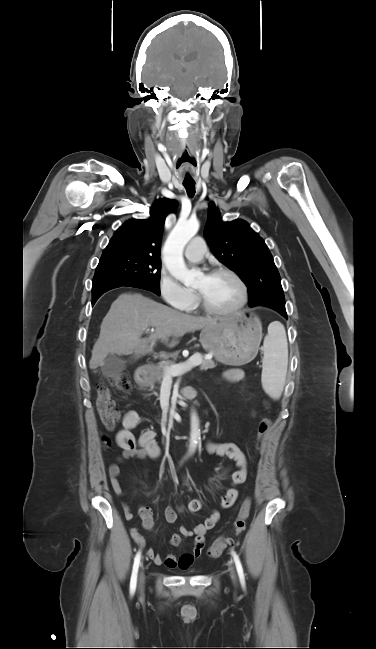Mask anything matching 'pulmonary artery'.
I'll list each match as a JSON object with an SVG mask.
<instances>
[{
    "label": "pulmonary artery",
    "instance_id": "1",
    "mask_svg": "<svg viewBox=\"0 0 376 649\" xmlns=\"http://www.w3.org/2000/svg\"><path fill=\"white\" fill-rule=\"evenodd\" d=\"M206 251V245L201 237H194L185 248V256L191 261H200Z\"/></svg>",
    "mask_w": 376,
    "mask_h": 649
}]
</instances>
